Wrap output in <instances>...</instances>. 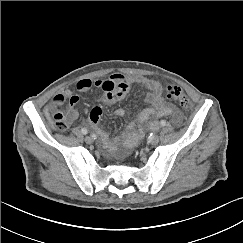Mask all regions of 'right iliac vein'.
Here are the masks:
<instances>
[{
  "label": "right iliac vein",
  "instance_id": "63e3f726",
  "mask_svg": "<svg viewBox=\"0 0 243 243\" xmlns=\"http://www.w3.org/2000/svg\"><path fill=\"white\" fill-rule=\"evenodd\" d=\"M85 142L88 143V144H91V143L93 142L92 137H90V136H86V137H85Z\"/></svg>",
  "mask_w": 243,
  "mask_h": 243
}]
</instances>
